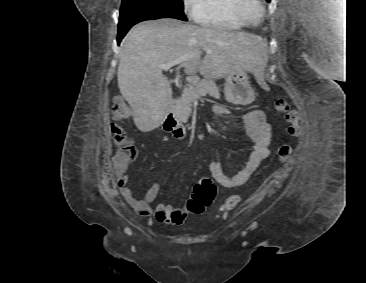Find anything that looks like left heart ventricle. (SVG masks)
I'll return each mask as SVG.
<instances>
[{
  "label": "left heart ventricle",
  "instance_id": "left-heart-ventricle-1",
  "mask_svg": "<svg viewBox=\"0 0 366 283\" xmlns=\"http://www.w3.org/2000/svg\"><path fill=\"white\" fill-rule=\"evenodd\" d=\"M258 7L254 3H249L246 8V15L249 20L255 21L258 15Z\"/></svg>",
  "mask_w": 366,
  "mask_h": 283
}]
</instances>
